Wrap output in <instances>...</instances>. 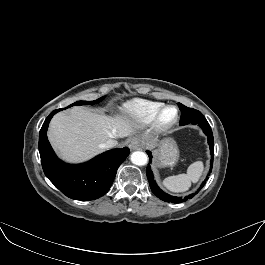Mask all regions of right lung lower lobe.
I'll list each match as a JSON object with an SVG mask.
<instances>
[{
	"label": "right lung lower lobe",
	"instance_id": "98d812e1",
	"mask_svg": "<svg viewBox=\"0 0 265 265\" xmlns=\"http://www.w3.org/2000/svg\"><path fill=\"white\" fill-rule=\"evenodd\" d=\"M54 110L44 121L39 133V153L47 178L67 197L76 200H94L108 192L117 169L128 157L127 147L104 152L92 160L78 165L66 164L58 159L47 139L48 124Z\"/></svg>",
	"mask_w": 265,
	"mask_h": 265
}]
</instances>
